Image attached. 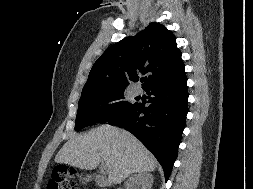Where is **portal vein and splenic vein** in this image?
Returning <instances> with one entry per match:
<instances>
[{
  "label": "portal vein and splenic vein",
  "instance_id": "18ae733b",
  "mask_svg": "<svg viewBox=\"0 0 253 189\" xmlns=\"http://www.w3.org/2000/svg\"><path fill=\"white\" fill-rule=\"evenodd\" d=\"M102 170L104 171L105 170V167L103 166Z\"/></svg>",
  "mask_w": 253,
  "mask_h": 189
}]
</instances>
